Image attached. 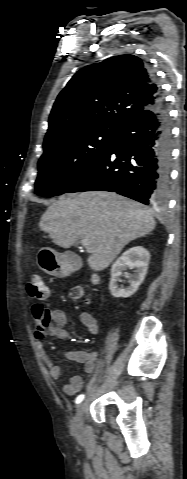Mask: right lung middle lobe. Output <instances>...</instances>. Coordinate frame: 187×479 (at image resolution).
<instances>
[{
	"mask_svg": "<svg viewBox=\"0 0 187 479\" xmlns=\"http://www.w3.org/2000/svg\"><path fill=\"white\" fill-rule=\"evenodd\" d=\"M119 130L89 128L43 145L36 193L44 197L65 193L108 150Z\"/></svg>",
	"mask_w": 187,
	"mask_h": 479,
	"instance_id": "right-lung-middle-lobe-1",
	"label": "right lung middle lobe"
}]
</instances>
